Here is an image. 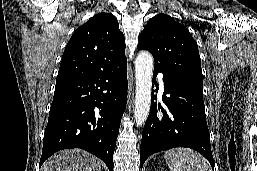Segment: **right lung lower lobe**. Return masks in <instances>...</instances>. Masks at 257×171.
Wrapping results in <instances>:
<instances>
[{"label": "right lung lower lobe", "mask_w": 257, "mask_h": 171, "mask_svg": "<svg viewBox=\"0 0 257 171\" xmlns=\"http://www.w3.org/2000/svg\"><path fill=\"white\" fill-rule=\"evenodd\" d=\"M126 64L85 78L56 82L40 166L59 150L81 148L113 171V153L127 101Z\"/></svg>", "instance_id": "obj_1"}]
</instances>
